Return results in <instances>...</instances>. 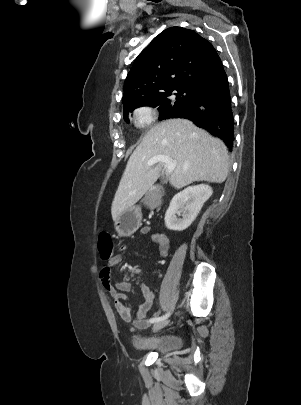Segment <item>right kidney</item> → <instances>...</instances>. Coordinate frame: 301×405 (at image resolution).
<instances>
[{"mask_svg":"<svg viewBox=\"0 0 301 405\" xmlns=\"http://www.w3.org/2000/svg\"><path fill=\"white\" fill-rule=\"evenodd\" d=\"M212 193V188L206 184L189 186L177 193L172 198L165 214L166 227L174 231L187 229ZM178 216H182V218Z\"/></svg>","mask_w":301,"mask_h":405,"instance_id":"right-kidney-1","label":"right kidney"}]
</instances>
